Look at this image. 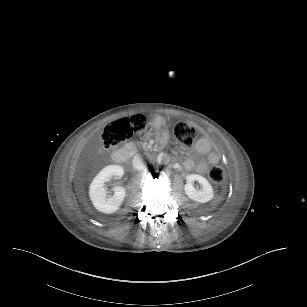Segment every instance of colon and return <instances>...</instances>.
I'll list each match as a JSON object with an SVG mask.
<instances>
[{
  "label": "colon",
  "instance_id": "colon-1",
  "mask_svg": "<svg viewBox=\"0 0 307 307\" xmlns=\"http://www.w3.org/2000/svg\"><path fill=\"white\" fill-rule=\"evenodd\" d=\"M146 126V119L140 115L122 118L108 124L101 135L99 150H109L125 143L139 135ZM174 135L183 147H190L196 138V132L185 121H178L175 124ZM208 175L211 181L220 183L224 179V170L214 165L209 169Z\"/></svg>",
  "mask_w": 307,
  "mask_h": 307
}]
</instances>
